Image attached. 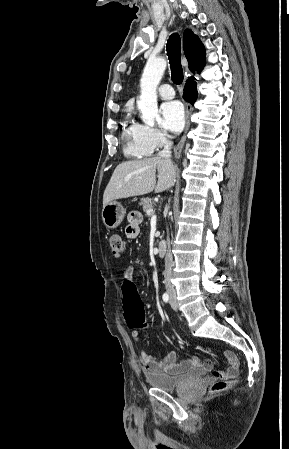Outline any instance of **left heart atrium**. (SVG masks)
Returning a JSON list of instances; mask_svg holds the SVG:
<instances>
[{
  "mask_svg": "<svg viewBox=\"0 0 289 449\" xmlns=\"http://www.w3.org/2000/svg\"><path fill=\"white\" fill-rule=\"evenodd\" d=\"M160 123L164 130L178 133L185 123V112L178 101L165 102L160 106Z\"/></svg>",
  "mask_w": 289,
  "mask_h": 449,
  "instance_id": "1",
  "label": "left heart atrium"
}]
</instances>
